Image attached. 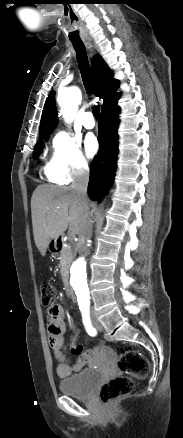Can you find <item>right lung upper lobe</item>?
<instances>
[{"instance_id":"cb5924a9","label":"right lung upper lobe","mask_w":183,"mask_h":438,"mask_svg":"<svg viewBox=\"0 0 183 438\" xmlns=\"http://www.w3.org/2000/svg\"><path fill=\"white\" fill-rule=\"evenodd\" d=\"M92 74L94 80V93L97 97L103 99L101 111L111 104L117 102L120 93L116 92L119 82L113 78L112 71L107 67L105 61L100 55L94 56L92 63ZM57 124V111L55 108L54 92H51L46 100L41 124L39 137L50 134Z\"/></svg>"}]
</instances>
